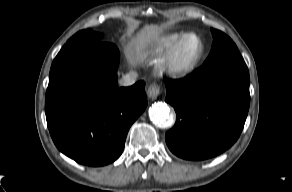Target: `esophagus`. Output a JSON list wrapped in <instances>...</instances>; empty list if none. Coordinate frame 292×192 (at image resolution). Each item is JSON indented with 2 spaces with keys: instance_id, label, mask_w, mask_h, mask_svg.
Masks as SVG:
<instances>
[{
  "instance_id": "1",
  "label": "esophagus",
  "mask_w": 292,
  "mask_h": 192,
  "mask_svg": "<svg viewBox=\"0 0 292 192\" xmlns=\"http://www.w3.org/2000/svg\"><path fill=\"white\" fill-rule=\"evenodd\" d=\"M161 94V87L158 84H151L147 89V95L150 99L155 100Z\"/></svg>"
}]
</instances>
